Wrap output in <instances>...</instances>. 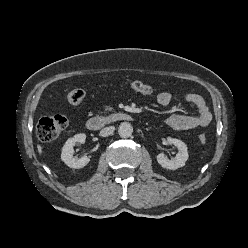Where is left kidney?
<instances>
[{
  "instance_id": "1",
  "label": "left kidney",
  "mask_w": 248,
  "mask_h": 248,
  "mask_svg": "<svg viewBox=\"0 0 248 248\" xmlns=\"http://www.w3.org/2000/svg\"><path fill=\"white\" fill-rule=\"evenodd\" d=\"M167 143L170 145H174L178 149V153L176 154L175 158L169 160L163 153L157 155V162L166 169L169 170H176L180 167L185 165V162L188 159V150L186 144L175 138L168 137Z\"/></svg>"
}]
</instances>
